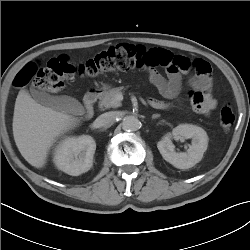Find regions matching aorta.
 I'll list each match as a JSON object with an SVG mask.
<instances>
[{
    "label": "aorta",
    "instance_id": "1",
    "mask_svg": "<svg viewBox=\"0 0 250 250\" xmlns=\"http://www.w3.org/2000/svg\"><path fill=\"white\" fill-rule=\"evenodd\" d=\"M123 129L128 131H137L141 127V122L135 116H126L122 122Z\"/></svg>",
    "mask_w": 250,
    "mask_h": 250
}]
</instances>
